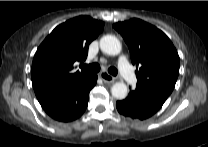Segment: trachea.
<instances>
[{
  "label": "trachea",
  "mask_w": 208,
  "mask_h": 147,
  "mask_svg": "<svg viewBox=\"0 0 208 147\" xmlns=\"http://www.w3.org/2000/svg\"><path fill=\"white\" fill-rule=\"evenodd\" d=\"M81 67L83 69L89 70V72H91V73H97V72L100 71V65L98 63H92V64H89V65L82 64ZM108 72L113 76H116L118 74V71L115 67H110L108 69Z\"/></svg>",
  "instance_id": "1"
}]
</instances>
